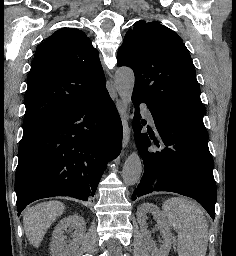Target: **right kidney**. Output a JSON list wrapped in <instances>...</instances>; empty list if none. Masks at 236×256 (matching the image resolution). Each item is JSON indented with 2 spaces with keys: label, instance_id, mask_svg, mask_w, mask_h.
<instances>
[{
  "label": "right kidney",
  "instance_id": "1",
  "mask_svg": "<svg viewBox=\"0 0 236 256\" xmlns=\"http://www.w3.org/2000/svg\"><path fill=\"white\" fill-rule=\"evenodd\" d=\"M67 228L75 230L71 236L73 240H67L64 236ZM85 234L86 224L82 216L73 214V216L63 218L53 230L50 256H79L81 246L85 242Z\"/></svg>",
  "mask_w": 236,
  "mask_h": 256
}]
</instances>
